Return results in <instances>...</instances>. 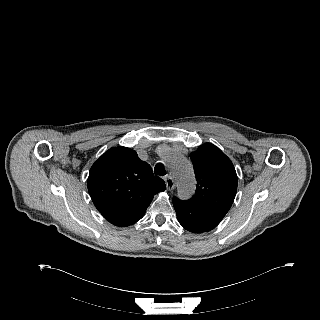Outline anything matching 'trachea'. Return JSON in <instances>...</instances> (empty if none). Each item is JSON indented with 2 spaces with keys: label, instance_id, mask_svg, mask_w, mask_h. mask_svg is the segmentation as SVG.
Returning <instances> with one entry per match:
<instances>
[{
  "label": "trachea",
  "instance_id": "3493384b",
  "mask_svg": "<svg viewBox=\"0 0 320 320\" xmlns=\"http://www.w3.org/2000/svg\"><path fill=\"white\" fill-rule=\"evenodd\" d=\"M154 172L156 175H159V176H164L166 175V170H165V167L162 163H157L155 168H154Z\"/></svg>",
  "mask_w": 320,
  "mask_h": 320
}]
</instances>
